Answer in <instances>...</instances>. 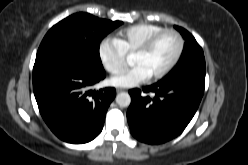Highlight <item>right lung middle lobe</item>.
Returning a JSON list of instances; mask_svg holds the SVG:
<instances>
[{
	"label": "right lung middle lobe",
	"mask_w": 248,
	"mask_h": 165,
	"mask_svg": "<svg viewBox=\"0 0 248 165\" xmlns=\"http://www.w3.org/2000/svg\"><path fill=\"white\" fill-rule=\"evenodd\" d=\"M121 24V21L100 19L88 13L73 14L47 32L37 51L36 60L54 53L72 51L80 54L95 71H104L99 43Z\"/></svg>",
	"instance_id": "dd1d6c3e"
}]
</instances>
